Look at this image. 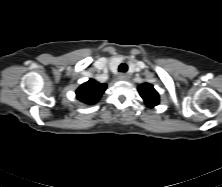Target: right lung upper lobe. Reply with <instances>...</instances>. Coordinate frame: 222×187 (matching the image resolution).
I'll return each mask as SVG.
<instances>
[{"label":"right lung upper lobe","mask_w":222,"mask_h":187,"mask_svg":"<svg viewBox=\"0 0 222 187\" xmlns=\"http://www.w3.org/2000/svg\"><path fill=\"white\" fill-rule=\"evenodd\" d=\"M106 89V84L99 83L94 79L83 83L76 91L78 100L92 105L95 104L102 96Z\"/></svg>","instance_id":"1"}]
</instances>
